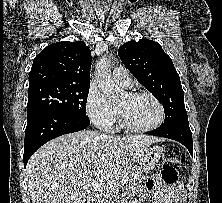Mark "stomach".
I'll return each mask as SVG.
<instances>
[{
	"instance_id": "1",
	"label": "stomach",
	"mask_w": 222,
	"mask_h": 203,
	"mask_svg": "<svg viewBox=\"0 0 222 203\" xmlns=\"http://www.w3.org/2000/svg\"><path fill=\"white\" fill-rule=\"evenodd\" d=\"M164 154L163 146L154 145L146 148L138 162L137 172L139 174H147L149 173L157 164L159 159Z\"/></svg>"
}]
</instances>
